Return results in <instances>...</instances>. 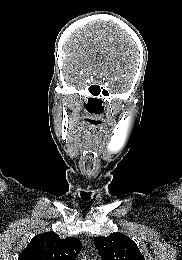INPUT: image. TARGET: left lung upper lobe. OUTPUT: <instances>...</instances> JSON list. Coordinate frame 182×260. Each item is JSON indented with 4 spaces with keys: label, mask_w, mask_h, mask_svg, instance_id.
<instances>
[{
    "label": "left lung upper lobe",
    "mask_w": 182,
    "mask_h": 260,
    "mask_svg": "<svg viewBox=\"0 0 182 260\" xmlns=\"http://www.w3.org/2000/svg\"><path fill=\"white\" fill-rule=\"evenodd\" d=\"M94 244L102 260H145L136 243L122 233L96 237Z\"/></svg>",
    "instance_id": "1"
}]
</instances>
